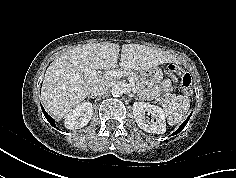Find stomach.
<instances>
[{
  "label": "stomach",
  "instance_id": "0dacf381",
  "mask_svg": "<svg viewBox=\"0 0 236 178\" xmlns=\"http://www.w3.org/2000/svg\"><path fill=\"white\" fill-rule=\"evenodd\" d=\"M138 76L145 87L152 88L161 82L163 78V72L159 67L156 66L139 71Z\"/></svg>",
  "mask_w": 236,
  "mask_h": 178
}]
</instances>
